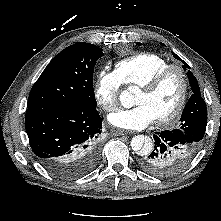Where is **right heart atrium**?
<instances>
[{"instance_id": "obj_1", "label": "right heart atrium", "mask_w": 221, "mask_h": 221, "mask_svg": "<svg viewBox=\"0 0 221 221\" xmlns=\"http://www.w3.org/2000/svg\"><path fill=\"white\" fill-rule=\"evenodd\" d=\"M121 91V83L114 72L101 70L96 77L94 97L106 112L116 109Z\"/></svg>"}]
</instances>
